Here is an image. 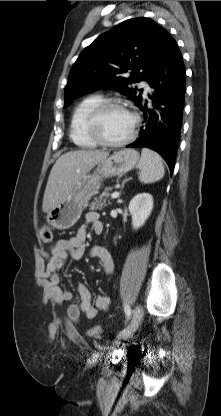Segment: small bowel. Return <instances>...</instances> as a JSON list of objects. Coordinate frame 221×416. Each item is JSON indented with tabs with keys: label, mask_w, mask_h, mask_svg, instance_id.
Returning a JSON list of instances; mask_svg holds the SVG:
<instances>
[{
	"label": "small bowel",
	"mask_w": 221,
	"mask_h": 416,
	"mask_svg": "<svg viewBox=\"0 0 221 416\" xmlns=\"http://www.w3.org/2000/svg\"><path fill=\"white\" fill-rule=\"evenodd\" d=\"M88 226L92 227L95 234L103 232L104 226L97 212H87L85 223L76 231L73 237L57 241L49 251L42 254L44 260L42 275L46 280L51 299L58 305H63L73 298L72 292L62 287L59 272L68 257L74 259L82 257ZM91 256L99 259L106 274L113 273V258L104 247H93ZM76 288L81 301L79 304L71 303L67 306V315L73 322L79 323L81 315H84L88 320H93L100 311L109 308L110 299L108 296L98 295L93 301L91 293L83 283H77Z\"/></svg>",
	"instance_id": "1"
}]
</instances>
